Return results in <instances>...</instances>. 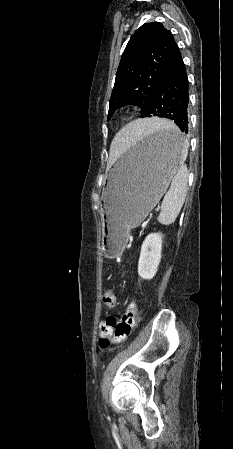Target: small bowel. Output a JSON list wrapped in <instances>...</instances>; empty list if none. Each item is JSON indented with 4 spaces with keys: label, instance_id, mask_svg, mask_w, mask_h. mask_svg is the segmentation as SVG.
Masks as SVG:
<instances>
[{
    "label": "small bowel",
    "instance_id": "c3829d8e",
    "mask_svg": "<svg viewBox=\"0 0 233 449\" xmlns=\"http://www.w3.org/2000/svg\"><path fill=\"white\" fill-rule=\"evenodd\" d=\"M105 323L106 322H103V321L100 323V325H99L100 333H101V330L104 328Z\"/></svg>",
    "mask_w": 233,
    "mask_h": 449
}]
</instances>
